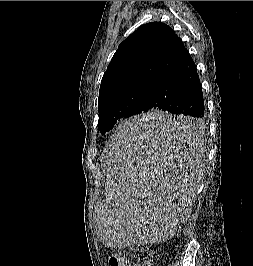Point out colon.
Wrapping results in <instances>:
<instances>
[{
    "instance_id": "1",
    "label": "colon",
    "mask_w": 253,
    "mask_h": 266,
    "mask_svg": "<svg viewBox=\"0 0 253 266\" xmlns=\"http://www.w3.org/2000/svg\"><path fill=\"white\" fill-rule=\"evenodd\" d=\"M153 263V258L146 257L140 266H153ZM109 266H129V262L121 252H114L109 257Z\"/></svg>"
}]
</instances>
